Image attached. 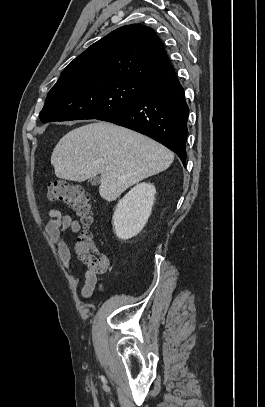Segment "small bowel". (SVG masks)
I'll use <instances>...</instances> for the list:
<instances>
[{
  "mask_svg": "<svg viewBox=\"0 0 265 407\" xmlns=\"http://www.w3.org/2000/svg\"><path fill=\"white\" fill-rule=\"evenodd\" d=\"M45 230L50 241L56 247L58 258L63 267L69 274H72V254L63 235L66 231H70L74 234L79 233L81 230L80 222L74 220L70 215L62 214L57 209H50L45 219ZM97 287H102L97 274L91 270H87L84 274V282L80 290L81 296L84 299H88Z\"/></svg>",
  "mask_w": 265,
  "mask_h": 407,
  "instance_id": "1",
  "label": "small bowel"
}]
</instances>
